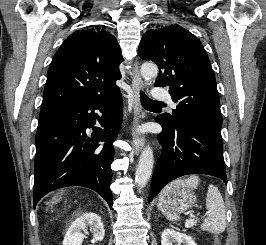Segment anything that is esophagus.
I'll list each match as a JSON object with an SVG mask.
<instances>
[{"label":"esophagus","mask_w":266,"mask_h":245,"mask_svg":"<svg viewBox=\"0 0 266 245\" xmlns=\"http://www.w3.org/2000/svg\"><path fill=\"white\" fill-rule=\"evenodd\" d=\"M132 79V92H133V104H134V123L138 124L143 118V112L140 104L139 91L143 87V81L140 76L138 62L135 61L132 70L130 72ZM145 137L134 136L133 138V148L135 150V154L138 155L142 148L144 147Z\"/></svg>","instance_id":"esophagus-1"}]
</instances>
